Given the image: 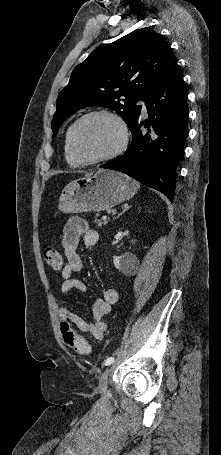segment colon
Here are the masks:
<instances>
[{
    "label": "colon",
    "mask_w": 221,
    "mask_h": 455,
    "mask_svg": "<svg viewBox=\"0 0 221 455\" xmlns=\"http://www.w3.org/2000/svg\"><path fill=\"white\" fill-rule=\"evenodd\" d=\"M46 264L53 270H63L65 262L60 252L55 248H46L44 251ZM63 341L67 346L81 355H88L91 351L90 344L85 338L79 335L67 321L61 323Z\"/></svg>",
    "instance_id": "colon-1"
}]
</instances>
